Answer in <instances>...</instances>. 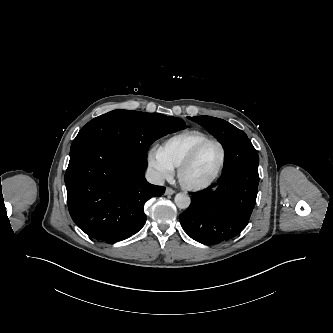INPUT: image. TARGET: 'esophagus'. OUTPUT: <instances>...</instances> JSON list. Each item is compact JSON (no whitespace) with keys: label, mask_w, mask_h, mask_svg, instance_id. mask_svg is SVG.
I'll list each match as a JSON object with an SVG mask.
<instances>
[{"label":"esophagus","mask_w":333,"mask_h":333,"mask_svg":"<svg viewBox=\"0 0 333 333\" xmlns=\"http://www.w3.org/2000/svg\"><path fill=\"white\" fill-rule=\"evenodd\" d=\"M175 193V191L172 188L167 187L165 190V195L169 196V195H173Z\"/></svg>","instance_id":"obj_1"}]
</instances>
